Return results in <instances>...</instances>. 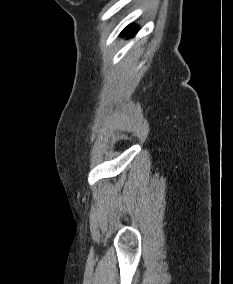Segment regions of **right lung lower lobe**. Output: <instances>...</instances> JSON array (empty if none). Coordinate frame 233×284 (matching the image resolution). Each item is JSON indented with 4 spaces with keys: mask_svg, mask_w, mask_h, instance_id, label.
Wrapping results in <instances>:
<instances>
[{
    "mask_svg": "<svg viewBox=\"0 0 233 284\" xmlns=\"http://www.w3.org/2000/svg\"><path fill=\"white\" fill-rule=\"evenodd\" d=\"M137 32V27L134 24L127 26L121 33V35L134 36Z\"/></svg>",
    "mask_w": 233,
    "mask_h": 284,
    "instance_id": "right-lung-lower-lobe-1",
    "label": "right lung lower lobe"
}]
</instances>
